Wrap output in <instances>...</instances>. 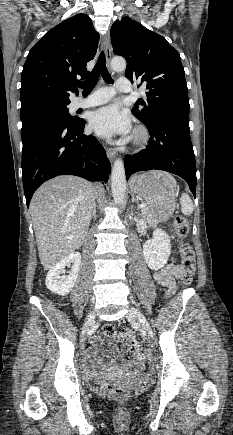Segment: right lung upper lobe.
Returning <instances> with one entry per match:
<instances>
[{
    "mask_svg": "<svg viewBox=\"0 0 233 435\" xmlns=\"http://www.w3.org/2000/svg\"><path fill=\"white\" fill-rule=\"evenodd\" d=\"M99 34L86 14L66 19L48 31L29 51L21 76L24 116L38 110L70 104L77 93V76L88 77L86 64L97 51Z\"/></svg>",
    "mask_w": 233,
    "mask_h": 435,
    "instance_id": "1",
    "label": "right lung upper lobe"
}]
</instances>
